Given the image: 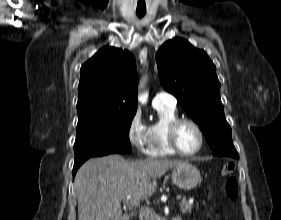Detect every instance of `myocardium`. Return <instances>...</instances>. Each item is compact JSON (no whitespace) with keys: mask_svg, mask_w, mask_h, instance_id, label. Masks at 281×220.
Returning a JSON list of instances; mask_svg holds the SVG:
<instances>
[{"mask_svg":"<svg viewBox=\"0 0 281 220\" xmlns=\"http://www.w3.org/2000/svg\"><path fill=\"white\" fill-rule=\"evenodd\" d=\"M190 124L192 125L198 132L199 134V138H200V142H199V146L196 150L192 151V152H185L183 151L177 141V131L179 129V127L182 124ZM204 132L201 128V126L193 119L190 118H176L173 121H171L167 127V141L169 146L179 155L181 156H194L196 154H198L201 149L203 148L204 145Z\"/></svg>","mask_w":281,"mask_h":220,"instance_id":"f54148a6","label":"myocardium"}]
</instances>
